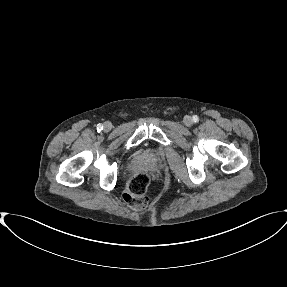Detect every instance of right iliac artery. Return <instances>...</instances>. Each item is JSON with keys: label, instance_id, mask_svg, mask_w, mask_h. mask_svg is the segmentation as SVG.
<instances>
[{"label": "right iliac artery", "instance_id": "obj_1", "mask_svg": "<svg viewBox=\"0 0 287 287\" xmlns=\"http://www.w3.org/2000/svg\"><path fill=\"white\" fill-rule=\"evenodd\" d=\"M102 129H103V125H102V124H98V125H97V130H98V131H101Z\"/></svg>", "mask_w": 287, "mask_h": 287}]
</instances>
